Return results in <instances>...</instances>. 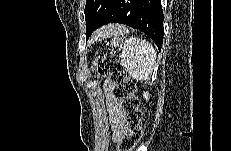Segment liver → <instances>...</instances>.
<instances>
[{
    "instance_id": "6515ba94",
    "label": "liver",
    "mask_w": 231,
    "mask_h": 151,
    "mask_svg": "<svg viewBox=\"0 0 231 151\" xmlns=\"http://www.w3.org/2000/svg\"><path fill=\"white\" fill-rule=\"evenodd\" d=\"M122 28L123 27L120 25L104 26L94 33L93 39L104 38L110 35H117L119 32H121Z\"/></svg>"
}]
</instances>
